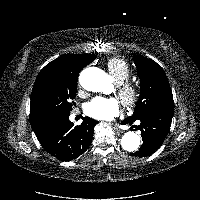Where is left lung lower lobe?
Here are the masks:
<instances>
[{
    "label": "left lung lower lobe",
    "mask_w": 200,
    "mask_h": 200,
    "mask_svg": "<svg viewBox=\"0 0 200 200\" xmlns=\"http://www.w3.org/2000/svg\"><path fill=\"white\" fill-rule=\"evenodd\" d=\"M137 119L141 122L137 129L142 132L143 144L137 152L131 153V155L137 157L149 156L159 149L163 143L170 131L172 118H164L155 112H148ZM137 119L126 118L122 121V124L132 125Z\"/></svg>",
    "instance_id": "obj_1"
}]
</instances>
